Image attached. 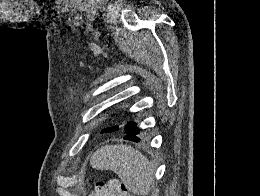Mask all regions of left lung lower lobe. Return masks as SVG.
I'll use <instances>...</instances> for the list:
<instances>
[{
    "label": "left lung lower lobe",
    "instance_id": "1",
    "mask_svg": "<svg viewBox=\"0 0 260 196\" xmlns=\"http://www.w3.org/2000/svg\"><path fill=\"white\" fill-rule=\"evenodd\" d=\"M125 133L126 136L124 137V139L126 140H131L134 142H138L141 139L138 137V135L140 134V129L136 126V123L133 121H129L125 127Z\"/></svg>",
    "mask_w": 260,
    "mask_h": 196
}]
</instances>
